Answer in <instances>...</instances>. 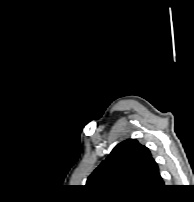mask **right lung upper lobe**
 Here are the masks:
<instances>
[{
	"instance_id": "cb5924a9",
	"label": "right lung upper lobe",
	"mask_w": 194,
	"mask_h": 202,
	"mask_svg": "<svg viewBox=\"0 0 194 202\" xmlns=\"http://www.w3.org/2000/svg\"><path fill=\"white\" fill-rule=\"evenodd\" d=\"M86 186L107 196H143L163 187L164 182L149 149L128 139L94 170Z\"/></svg>"
}]
</instances>
